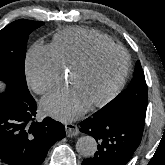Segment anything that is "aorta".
Segmentation results:
<instances>
[{"instance_id": "obj_1", "label": "aorta", "mask_w": 165, "mask_h": 165, "mask_svg": "<svg viewBox=\"0 0 165 165\" xmlns=\"http://www.w3.org/2000/svg\"><path fill=\"white\" fill-rule=\"evenodd\" d=\"M76 151L84 157L93 156L97 151L95 138L89 135L80 137L76 142Z\"/></svg>"}]
</instances>
